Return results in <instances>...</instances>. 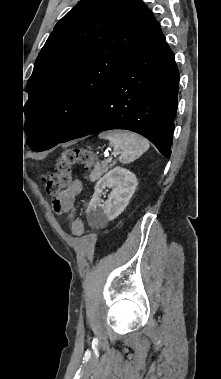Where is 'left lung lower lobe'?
<instances>
[{"label":"left lung lower lobe","instance_id":"1","mask_svg":"<svg viewBox=\"0 0 221 379\" xmlns=\"http://www.w3.org/2000/svg\"><path fill=\"white\" fill-rule=\"evenodd\" d=\"M178 85L174 54L157 26L59 143L99 131L127 129L148 138L170 158Z\"/></svg>","mask_w":221,"mask_h":379}]
</instances>
